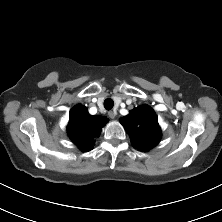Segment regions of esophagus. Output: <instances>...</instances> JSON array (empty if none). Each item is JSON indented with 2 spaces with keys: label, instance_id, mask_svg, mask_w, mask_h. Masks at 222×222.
<instances>
[{
  "label": "esophagus",
  "instance_id": "obj_1",
  "mask_svg": "<svg viewBox=\"0 0 222 222\" xmlns=\"http://www.w3.org/2000/svg\"><path fill=\"white\" fill-rule=\"evenodd\" d=\"M108 116H109L111 119H114L115 116H116V114H115V112H113V111H109V112H108Z\"/></svg>",
  "mask_w": 222,
  "mask_h": 222
}]
</instances>
